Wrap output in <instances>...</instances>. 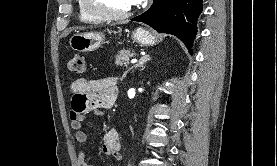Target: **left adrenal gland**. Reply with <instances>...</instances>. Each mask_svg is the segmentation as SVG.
<instances>
[{"label":"left adrenal gland","instance_id":"obj_1","mask_svg":"<svg viewBox=\"0 0 277 166\" xmlns=\"http://www.w3.org/2000/svg\"><path fill=\"white\" fill-rule=\"evenodd\" d=\"M150 60H151L150 55H144L143 57H141L139 59V61L135 65H133L131 68H129L127 71H125V73L123 74V78H125L127 73L134 68H144L146 63Z\"/></svg>","mask_w":277,"mask_h":166}]
</instances>
